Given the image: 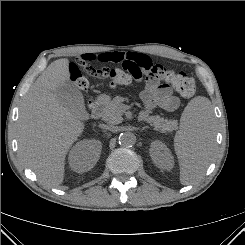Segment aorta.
<instances>
[{
  "label": "aorta",
  "instance_id": "obj_1",
  "mask_svg": "<svg viewBox=\"0 0 245 245\" xmlns=\"http://www.w3.org/2000/svg\"><path fill=\"white\" fill-rule=\"evenodd\" d=\"M136 142V136L131 132H124L119 135V144L124 147H132Z\"/></svg>",
  "mask_w": 245,
  "mask_h": 245
}]
</instances>
